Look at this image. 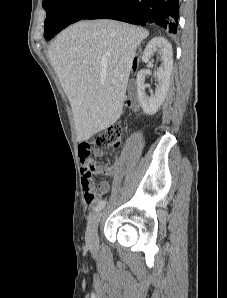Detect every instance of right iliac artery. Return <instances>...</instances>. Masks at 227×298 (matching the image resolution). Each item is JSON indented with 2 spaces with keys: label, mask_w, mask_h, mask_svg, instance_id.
Segmentation results:
<instances>
[{
  "label": "right iliac artery",
  "mask_w": 227,
  "mask_h": 298,
  "mask_svg": "<svg viewBox=\"0 0 227 298\" xmlns=\"http://www.w3.org/2000/svg\"><path fill=\"white\" fill-rule=\"evenodd\" d=\"M106 205V201L102 200L98 203V205L95 207V212H99L101 209L104 208V206Z\"/></svg>",
  "instance_id": "right-iliac-artery-1"
}]
</instances>
